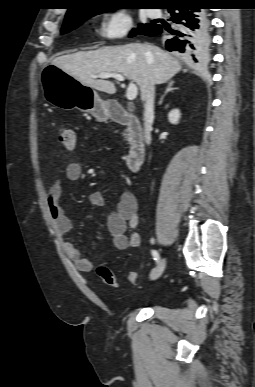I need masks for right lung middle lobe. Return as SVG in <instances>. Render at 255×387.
Segmentation results:
<instances>
[{
	"label": "right lung middle lobe",
	"mask_w": 255,
	"mask_h": 387,
	"mask_svg": "<svg viewBox=\"0 0 255 387\" xmlns=\"http://www.w3.org/2000/svg\"><path fill=\"white\" fill-rule=\"evenodd\" d=\"M104 11H106V10L88 11V12L83 13V14L78 15V16L65 17V20H64V23H63V26H62V29H61V34H65V33H68L71 30H74L75 28L80 26L85 20L89 19L90 17H92L94 15L100 14V13H102ZM153 25L154 24H150V23L140 24V26L137 29H134L131 32L130 36L132 37V36H135L136 34H142V31L145 28L151 27Z\"/></svg>",
	"instance_id": "right-lung-middle-lobe-1"
}]
</instances>
